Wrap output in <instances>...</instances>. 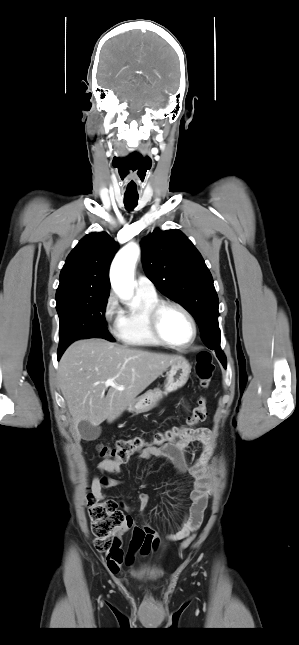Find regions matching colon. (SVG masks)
I'll return each mask as SVG.
<instances>
[{"label": "colon", "mask_w": 299, "mask_h": 645, "mask_svg": "<svg viewBox=\"0 0 299 645\" xmlns=\"http://www.w3.org/2000/svg\"><path fill=\"white\" fill-rule=\"evenodd\" d=\"M214 365L210 353L202 351L197 355L196 373L200 386L208 388L213 377ZM207 414L206 400L200 398L197 406L187 416L185 425L174 426L158 431L148 441L142 437L121 439L114 447L99 445L97 451L104 461H113L118 464L126 463L131 456L139 453L147 446H165L181 439L187 429L203 421ZM88 514L91 520L93 543L100 552H110L115 545V534L126 524L127 517L119 509V505L112 499H98L92 493L87 497ZM195 537L191 532L181 543V548H187Z\"/></svg>", "instance_id": "1"}]
</instances>
